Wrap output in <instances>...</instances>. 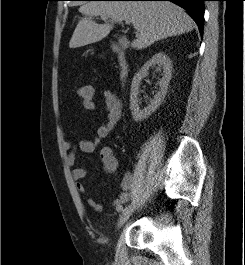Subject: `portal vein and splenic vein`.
I'll list each match as a JSON object with an SVG mask.
<instances>
[{
    "label": "portal vein and splenic vein",
    "mask_w": 245,
    "mask_h": 265,
    "mask_svg": "<svg viewBox=\"0 0 245 265\" xmlns=\"http://www.w3.org/2000/svg\"><path fill=\"white\" fill-rule=\"evenodd\" d=\"M126 24H130V21L129 20H126Z\"/></svg>",
    "instance_id": "1"
}]
</instances>
